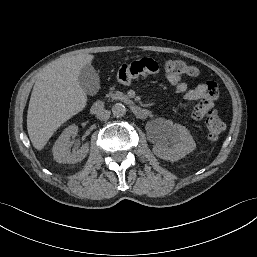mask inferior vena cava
<instances>
[{
	"instance_id": "602c4592",
	"label": "inferior vena cava",
	"mask_w": 257,
	"mask_h": 257,
	"mask_svg": "<svg viewBox=\"0 0 257 257\" xmlns=\"http://www.w3.org/2000/svg\"><path fill=\"white\" fill-rule=\"evenodd\" d=\"M111 112L109 110L101 109L97 112L96 117L99 120L106 121L109 119Z\"/></svg>"
}]
</instances>
